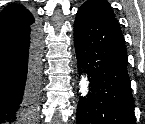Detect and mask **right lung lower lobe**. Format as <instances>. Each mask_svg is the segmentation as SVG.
I'll list each match as a JSON object with an SVG mask.
<instances>
[{
    "mask_svg": "<svg viewBox=\"0 0 145 124\" xmlns=\"http://www.w3.org/2000/svg\"><path fill=\"white\" fill-rule=\"evenodd\" d=\"M41 38L35 25L0 32V124L32 119L38 104Z\"/></svg>",
    "mask_w": 145,
    "mask_h": 124,
    "instance_id": "1",
    "label": "right lung lower lobe"
}]
</instances>
